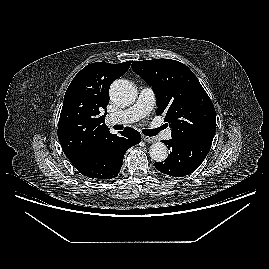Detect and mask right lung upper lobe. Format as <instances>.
<instances>
[{"label":"right lung upper lobe","instance_id":"cb5924a9","mask_svg":"<svg viewBox=\"0 0 269 269\" xmlns=\"http://www.w3.org/2000/svg\"><path fill=\"white\" fill-rule=\"evenodd\" d=\"M131 61L109 64L96 62L85 66L70 83L58 124L62 150L77 161L104 143L111 134L103 113L109 103V87L129 69Z\"/></svg>","mask_w":269,"mask_h":269}]
</instances>
